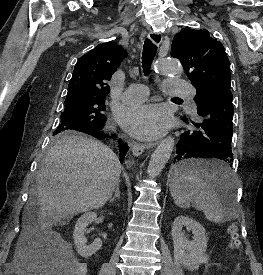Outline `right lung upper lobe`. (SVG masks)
Returning <instances> with one entry per match:
<instances>
[{"instance_id":"right-lung-upper-lobe-1","label":"right lung upper lobe","mask_w":263,"mask_h":275,"mask_svg":"<svg viewBox=\"0 0 263 275\" xmlns=\"http://www.w3.org/2000/svg\"><path fill=\"white\" fill-rule=\"evenodd\" d=\"M127 52L116 43L97 45L77 61L69 82L67 98L77 95L106 96L111 79Z\"/></svg>"}]
</instances>
